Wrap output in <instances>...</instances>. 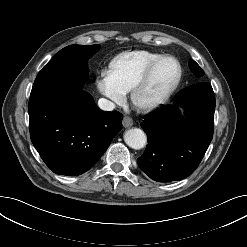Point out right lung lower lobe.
Returning a JSON list of instances; mask_svg holds the SVG:
<instances>
[{
	"mask_svg": "<svg viewBox=\"0 0 247 247\" xmlns=\"http://www.w3.org/2000/svg\"><path fill=\"white\" fill-rule=\"evenodd\" d=\"M30 137L54 173L77 176L89 170L121 130L122 114L101 111L82 89L46 88L29 99Z\"/></svg>",
	"mask_w": 247,
	"mask_h": 247,
	"instance_id": "obj_1",
	"label": "right lung lower lobe"
}]
</instances>
